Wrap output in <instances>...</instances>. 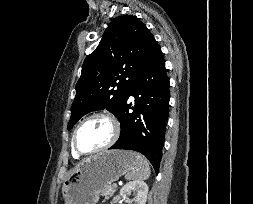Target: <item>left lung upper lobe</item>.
I'll return each mask as SVG.
<instances>
[{"mask_svg": "<svg viewBox=\"0 0 253 204\" xmlns=\"http://www.w3.org/2000/svg\"><path fill=\"white\" fill-rule=\"evenodd\" d=\"M156 44L136 16L114 18L98 47L84 60L68 129L94 110L106 108L119 118L131 87Z\"/></svg>", "mask_w": 253, "mask_h": 204, "instance_id": "1", "label": "left lung upper lobe"}]
</instances>
